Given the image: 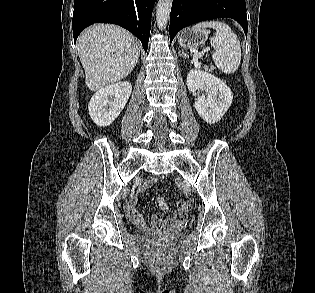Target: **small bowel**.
Here are the masks:
<instances>
[{
    "mask_svg": "<svg viewBox=\"0 0 315 293\" xmlns=\"http://www.w3.org/2000/svg\"><path fill=\"white\" fill-rule=\"evenodd\" d=\"M155 178H149L148 180H146L140 187V190H147L149 188L152 187V185L155 182ZM158 204H159V208L163 211H166L169 209L168 205L166 204V202L164 201L163 198H160L158 200ZM127 211L130 215V217L137 222L140 225H144L145 224V220L143 218V216L141 215V213L138 211L137 209V199L136 198H131L127 204ZM186 213L185 211H175L174 213V220H182V218H185ZM173 219L168 218L166 219V222H171ZM152 222L155 226H159L162 224L163 220L160 218L159 215H154L152 218Z\"/></svg>",
    "mask_w": 315,
    "mask_h": 293,
    "instance_id": "1",
    "label": "small bowel"
}]
</instances>
